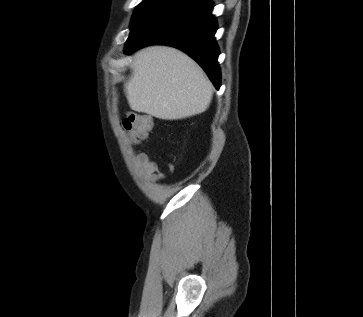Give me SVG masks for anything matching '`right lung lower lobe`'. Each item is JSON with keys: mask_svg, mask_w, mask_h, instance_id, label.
Returning a JSON list of instances; mask_svg holds the SVG:
<instances>
[{"mask_svg": "<svg viewBox=\"0 0 363 317\" xmlns=\"http://www.w3.org/2000/svg\"><path fill=\"white\" fill-rule=\"evenodd\" d=\"M212 8L211 0L182 1L156 18L135 40L127 42L124 53L150 44L177 47L194 58L219 89V50L214 38L217 24Z\"/></svg>", "mask_w": 363, "mask_h": 317, "instance_id": "obj_1", "label": "right lung lower lobe"}]
</instances>
